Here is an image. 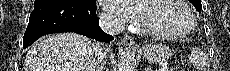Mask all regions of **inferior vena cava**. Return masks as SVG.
I'll use <instances>...</instances> for the list:
<instances>
[{
    "label": "inferior vena cava",
    "mask_w": 230,
    "mask_h": 71,
    "mask_svg": "<svg viewBox=\"0 0 230 71\" xmlns=\"http://www.w3.org/2000/svg\"><path fill=\"white\" fill-rule=\"evenodd\" d=\"M99 25L104 32L110 35H117L124 30L123 22L106 14L99 16ZM105 63L106 51L104 47L99 42H94L86 59L85 71H103Z\"/></svg>",
    "instance_id": "602c4592"
}]
</instances>
